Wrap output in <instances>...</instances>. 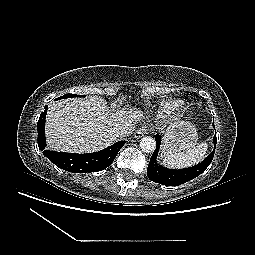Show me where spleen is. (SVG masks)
I'll return each mask as SVG.
<instances>
[{
  "label": "spleen",
  "mask_w": 255,
  "mask_h": 255,
  "mask_svg": "<svg viewBox=\"0 0 255 255\" xmlns=\"http://www.w3.org/2000/svg\"><path fill=\"white\" fill-rule=\"evenodd\" d=\"M208 150L205 142L198 144L192 148L186 149L185 152L175 154H162L163 165L170 168H183L193 166L202 161Z\"/></svg>",
  "instance_id": "obj_1"
}]
</instances>
